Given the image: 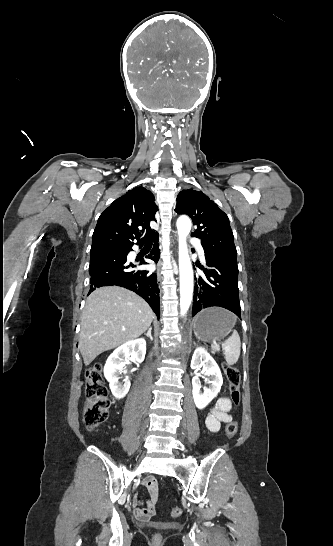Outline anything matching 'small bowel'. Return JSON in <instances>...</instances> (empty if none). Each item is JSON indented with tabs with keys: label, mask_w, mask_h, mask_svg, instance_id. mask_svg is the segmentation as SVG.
Returning <instances> with one entry per match:
<instances>
[{
	"label": "small bowel",
	"mask_w": 333,
	"mask_h": 546,
	"mask_svg": "<svg viewBox=\"0 0 333 546\" xmlns=\"http://www.w3.org/2000/svg\"><path fill=\"white\" fill-rule=\"evenodd\" d=\"M231 408L230 400L227 397H220L205 418L207 430L216 433L220 430L222 423L230 422L232 420ZM144 488L149 498L146 502H135L134 516L139 520L146 521L155 514V504L158 499V486L154 477H148L144 481Z\"/></svg>",
	"instance_id": "c3829d8e"
}]
</instances>
